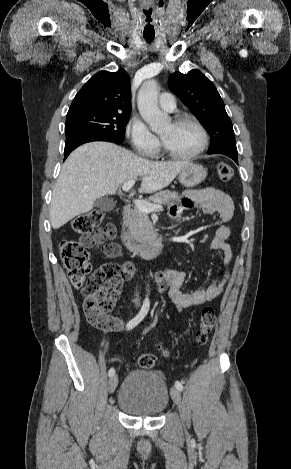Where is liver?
<instances>
[{"mask_svg":"<svg viewBox=\"0 0 291 469\" xmlns=\"http://www.w3.org/2000/svg\"><path fill=\"white\" fill-rule=\"evenodd\" d=\"M189 161L157 162L108 142H91L74 150L64 162L53 190L50 220L58 229L90 211L96 200L114 195L121 184L142 178L139 192L167 187Z\"/></svg>","mask_w":291,"mask_h":469,"instance_id":"1","label":"liver"}]
</instances>
